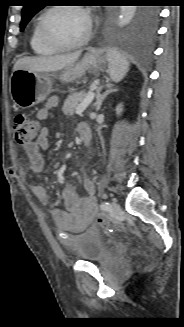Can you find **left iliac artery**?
<instances>
[{
	"label": "left iliac artery",
	"mask_w": 184,
	"mask_h": 327,
	"mask_svg": "<svg viewBox=\"0 0 184 327\" xmlns=\"http://www.w3.org/2000/svg\"><path fill=\"white\" fill-rule=\"evenodd\" d=\"M100 208L102 210H108L110 208V204L107 201L101 203Z\"/></svg>",
	"instance_id": "44dca946"
}]
</instances>
